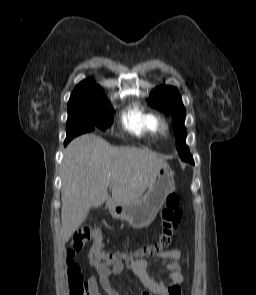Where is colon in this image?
I'll list each match as a JSON object with an SVG mask.
<instances>
[{
	"label": "colon",
	"instance_id": "5ec220e1",
	"mask_svg": "<svg viewBox=\"0 0 256 295\" xmlns=\"http://www.w3.org/2000/svg\"><path fill=\"white\" fill-rule=\"evenodd\" d=\"M181 217L180 198L177 194H171L166 198L159 213L160 232L156 241L141 250L139 254H158L167 251L174 241ZM87 246H89L88 259L94 267H107L123 260V256L102 250V237L99 230L87 225L81 227L73 234L66 251L70 295H92L80 267L74 261V257Z\"/></svg>",
	"mask_w": 256,
	"mask_h": 295
}]
</instances>
